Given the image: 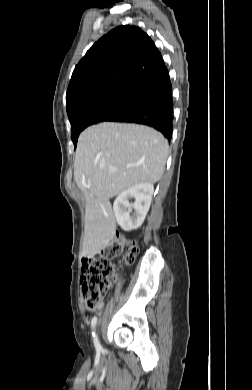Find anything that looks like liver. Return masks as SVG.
<instances>
[{
  "instance_id": "obj_1",
  "label": "liver",
  "mask_w": 252,
  "mask_h": 390,
  "mask_svg": "<svg viewBox=\"0 0 252 390\" xmlns=\"http://www.w3.org/2000/svg\"><path fill=\"white\" fill-rule=\"evenodd\" d=\"M167 156L168 141L147 126L103 122L80 134L74 179L86 199L83 256L100 253L114 237L109 199L137 184L159 181Z\"/></svg>"
}]
</instances>
